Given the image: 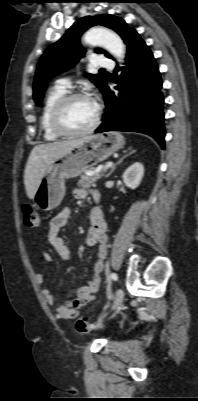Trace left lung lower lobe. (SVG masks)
I'll return each mask as SVG.
<instances>
[{
    "mask_svg": "<svg viewBox=\"0 0 198 401\" xmlns=\"http://www.w3.org/2000/svg\"><path fill=\"white\" fill-rule=\"evenodd\" d=\"M127 55L123 73L111 91L105 84L103 122L96 133L105 131H134L153 137L164 148L162 81L152 52L132 30L126 39Z\"/></svg>",
    "mask_w": 198,
    "mask_h": 401,
    "instance_id": "left-lung-lower-lobe-1",
    "label": "left lung lower lobe"
}]
</instances>
